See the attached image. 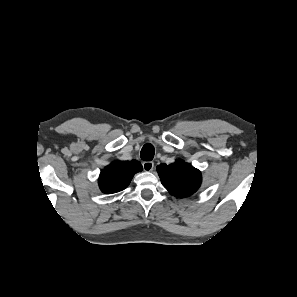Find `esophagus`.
Returning a JSON list of instances; mask_svg holds the SVG:
<instances>
[{"instance_id":"1","label":"esophagus","mask_w":297,"mask_h":297,"mask_svg":"<svg viewBox=\"0 0 297 297\" xmlns=\"http://www.w3.org/2000/svg\"><path fill=\"white\" fill-rule=\"evenodd\" d=\"M142 166L144 170L151 171L154 168V163L152 161H144Z\"/></svg>"}]
</instances>
